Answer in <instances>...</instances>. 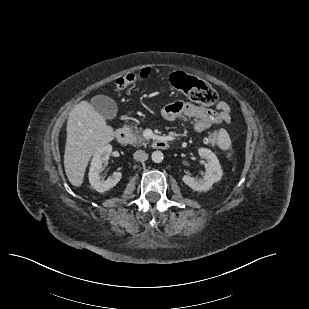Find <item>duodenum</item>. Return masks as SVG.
<instances>
[{
    "label": "duodenum",
    "instance_id": "410a0bca",
    "mask_svg": "<svg viewBox=\"0 0 309 309\" xmlns=\"http://www.w3.org/2000/svg\"><path fill=\"white\" fill-rule=\"evenodd\" d=\"M116 139L119 143L126 145L129 142V132L125 128H119L115 132ZM154 149L166 150L170 147L168 139L160 137L152 142Z\"/></svg>",
    "mask_w": 309,
    "mask_h": 309
}]
</instances>
